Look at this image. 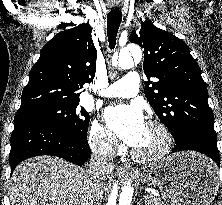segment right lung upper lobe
I'll list each match as a JSON object with an SVG mask.
<instances>
[{
	"label": "right lung upper lobe",
	"mask_w": 222,
	"mask_h": 205,
	"mask_svg": "<svg viewBox=\"0 0 222 205\" xmlns=\"http://www.w3.org/2000/svg\"><path fill=\"white\" fill-rule=\"evenodd\" d=\"M91 30L89 24H80L58 33L42 48L17 112L48 103L80 101V90L95 75L97 51Z\"/></svg>",
	"instance_id": "obj_1"
}]
</instances>
